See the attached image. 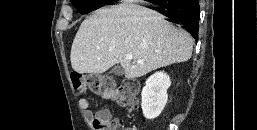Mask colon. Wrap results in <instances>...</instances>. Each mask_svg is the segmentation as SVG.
<instances>
[{
  "label": "colon",
  "instance_id": "1",
  "mask_svg": "<svg viewBox=\"0 0 257 130\" xmlns=\"http://www.w3.org/2000/svg\"><path fill=\"white\" fill-rule=\"evenodd\" d=\"M71 80L78 96H82L88 89L93 93L115 99L128 111H134L138 108L140 85L135 79L126 80L117 87L115 79L112 76L80 74L75 72L71 75ZM93 126L97 130H121L116 120H105L99 116L94 117ZM123 130L131 129L126 128Z\"/></svg>",
  "mask_w": 257,
  "mask_h": 130
}]
</instances>
